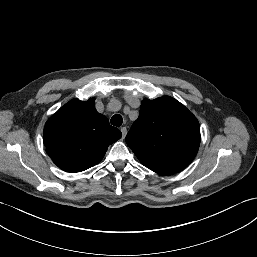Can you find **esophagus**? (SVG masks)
I'll return each instance as SVG.
<instances>
[{"instance_id": "obj_1", "label": "esophagus", "mask_w": 257, "mask_h": 257, "mask_svg": "<svg viewBox=\"0 0 257 257\" xmlns=\"http://www.w3.org/2000/svg\"><path fill=\"white\" fill-rule=\"evenodd\" d=\"M121 132H122V138H125L126 134H127V128L126 127H121Z\"/></svg>"}]
</instances>
